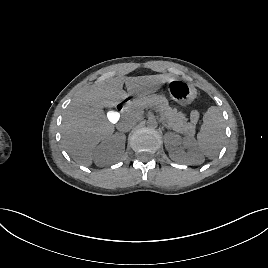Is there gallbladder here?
I'll return each instance as SVG.
<instances>
[{
	"label": "gallbladder",
	"mask_w": 268,
	"mask_h": 268,
	"mask_svg": "<svg viewBox=\"0 0 268 268\" xmlns=\"http://www.w3.org/2000/svg\"><path fill=\"white\" fill-rule=\"evenodd\" d=\"M103 115L107 122L112 125L119 124L122 119L121 113L112 106L105 107L103 110Z\"/></svg>",
	"instance_id": "obj_1"
}]
</instances>
